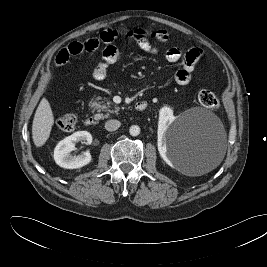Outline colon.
<instances>
[{"mask_svg":"<svg viewBox=\"0 0 267 267\" xmlns=\"http://www.w3.org/2000/svg\"><path fill=\"white\" fill-rule=\"evenodd\" d=\"M151 37L158 43H165L168 40V34L165 31H156L152 33ZM197 99L201 105L207 108L217 109L220 106L218 95L210 90H201L198 93ZM76 124V116L71 113L64 114L57 119L58 127L66 132L74 130Z\"/></svg>","mask_w":267,"mask_h":267,"instance_id":"colon-1","label":"colon"}]
</instances>
